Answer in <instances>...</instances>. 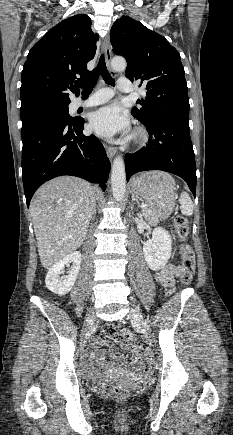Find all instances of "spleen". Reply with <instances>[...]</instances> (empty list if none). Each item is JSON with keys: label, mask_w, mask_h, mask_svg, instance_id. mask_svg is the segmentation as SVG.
I'll return each mask as SVG.
<instances>
[{"label": "spleen", "mask_w": 233, "mask_h": 435, "mask_svg": "<svg viewBox=\"0 0 233 435\" xmlns=\"http://www.w3.org/2000/svg\"><path fill=\"white\" fill-rule=\"evenodd\" d=\"M181 213L185 216L193 214V202L186 192H182L179 198Z\"/></svg>", "instance_id": "3e777b00"}]
</instances>
